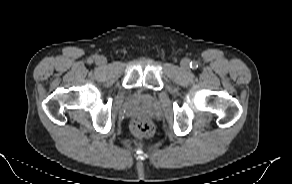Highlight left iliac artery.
Returning a JSON list of instances; mask_svg holds the SVG:
<instances>
[{"mask_svg":"<svg viewBox=\"0 0 292 184\" xmlns=\"http://www.w3.org/2000/svg\"><path fill=\"white\" fill-rule=\"evenodd\" d=\"M190 67L193 68V69L197 68L198 67L197 62H195V61L191 62L190 63Z\"/></svg>","mask_w":292,"mask_h":184,"instance_id":"44dca946","label":"left iliac artery"}]
</instances>
